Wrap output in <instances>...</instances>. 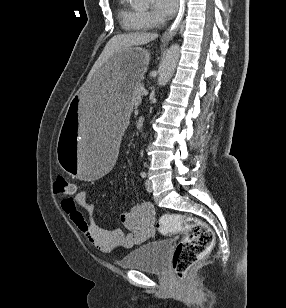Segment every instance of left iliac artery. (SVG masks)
I'll return each mask as SVG.
<instances>
[{"label": "left iliac artery", "instance_id": "1", "mask_svg": "<svg viewBox=\"0 0 286 308\" xmlns=\"http://www.w3.org/2000/svg\"><path fill=\"white\" fill-rule=\"evenodd\" d=\"M140 175H141L142 178H145L147 174H146V172L142 171Z\"/></svg>", "mask_w": 286, "mask_h": 308}]
</instances>
